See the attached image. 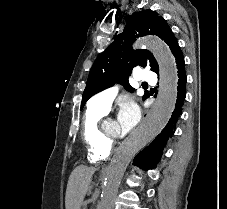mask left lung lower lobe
Returning a JSON list of instances; mask_svg holds the SVG:
<instances>
[{"mask_svg":"<svg viewBox=\"0 0 227 209\" xmlns=\"http://www.w3.org/2000/svg\"><path fill=\"white\" fill-rule=\"evenodd\" d=\"M175 59L178 69V93L177 101L175 104V109L172 113L171 118L169 119L165 128L161 133L153 140V142L143 149L133 161V164L141 167L144 170L152 169L159 161L162 156L163 149L168 139L173 135L175 123L178 117L181 115V106L185 99V85H186V73H185V62L183 53L180 47L177 49L175 54Z\"/></svg>","mask_w":227,"mask_h":209,"instance_id":"obj_1","label":"left lung lower lobe"}]
</instances>
